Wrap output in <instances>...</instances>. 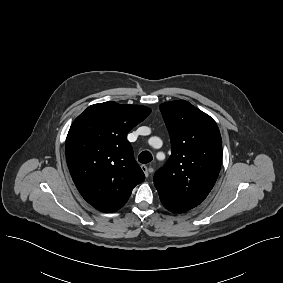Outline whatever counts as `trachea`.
I'll return each mask as SVG.
<instances>
[{
  "mask_svg": "<svg viewBox=\"0 0 283 283\" xmlns=\"http://www.w3.org/2000/svg\"><path fill=\"white\" fill-rule=\"evenodd\" d=\"M152 159H153V157H152V155L149 151H143L138 156V161L141 162V163H148V162L152 161Z\"/></svg>",
  "mask_w": 283,
  "mask_h": 283,
  "instance_id": "trachea-1",
  "label": "trachea"
}]
</instances>
